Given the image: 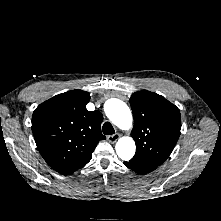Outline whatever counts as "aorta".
<instances>
[{
	"instance_id": "aorta-1",
	"label": "aorta",
	"mask_w": 221,
	"mask_h": 221,
	"mask_svg": "<svg viewBox=\"0 0 221 221\" xmlns=\"http://www.w3.org/2000/svg\"><path fill=\"white\" fill-rule=\"evenodd\" d=\"M105 112L107 117L121 130H130L133 125V117L129 107L119 99H111ZM116 153L124 161L130 160L136 151L135 142L131 137H121L115 146Z\"/></svg>"
}]
</instances>
